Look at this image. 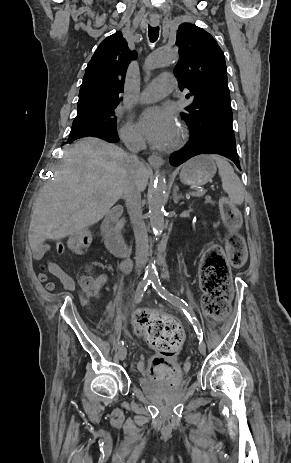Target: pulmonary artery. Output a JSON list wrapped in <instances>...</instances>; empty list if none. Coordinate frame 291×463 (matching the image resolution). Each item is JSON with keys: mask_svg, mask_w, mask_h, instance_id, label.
<instances>
[{"mask_svg": "<svg viewBox=\"0 0 291 463\" xmlns=\"http://www.w3.org/2000/svg\"><path fill=\"white\" fill-rule=\"evenodd\" d=\"M176 86L175 78L170 74L157 76L140 94V103H150L160 100L173 92Z\"/></svg>", "mask_w": 291, "mask_h": 463, "instance_id": "obj_1", "label": "pulmonary artery"}]
</instances>
